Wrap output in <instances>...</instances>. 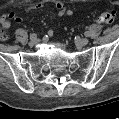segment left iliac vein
<instances>
[{"instance_id":"obj_1","label":"left iliac vein","mask_w":119,"mask_h":119,"mask_svg":"<svg viewBox=\"0 0 119 119\" xmlns=\"http://www.w3.org/2000/svg\"><path fill=\"white\" fill-rule=\"evenodd\" d=\"M78 45L85 46L89 43V40L87 38H81L76 41Z\"/></svg>"}]
</instances>
